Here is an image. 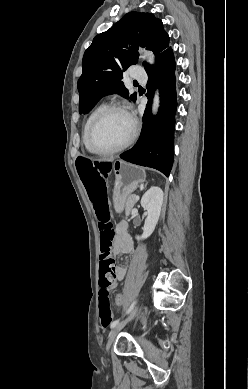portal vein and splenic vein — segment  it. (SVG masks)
<instances>
[{
    "mask_svg": "<svg viewBox=\"0 0 248 389\" xmlns=\"http://www.w3.org/2000/svg\"><path fill=\"white\" fill-rule=\"evenodd\" d=\"M135 199L137 200V199H138V196H136Z\"/></svg>",
    "mask_w": 248,
    "mask_h": 389,
    "instance_id": "1",
    "label": "portal vein and splenic vein"
}]
</instances>
